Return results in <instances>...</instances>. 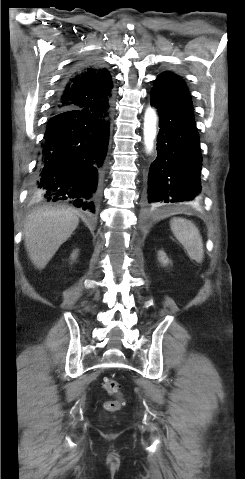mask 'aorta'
Returning a JSON list of instances; mask_svg holds the SVG:
<instances>
[{
  "label": "aorta",
  "instance_id": "obj_1",
  "mask_svg": "<svg viewBox=\"0 0 245 479\" xmlns=\"http://www.w3.org/2000/svg\"><path fill=\"white\" fill-rule=\"evenodd\" d=\"M156 121L157 117L154 109L148 108L144 117V141L148 152L152 151L153 141L156 137Z\"/></svg>",
  "mask_w": 245,
  "mask_h": 479
}]
</instances>
